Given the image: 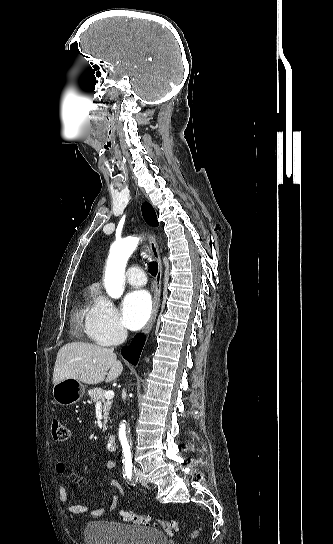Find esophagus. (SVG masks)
<instances>
[{
    "instance_id": "esophagus-1",
    "label": "esophagus",
    "mask_w": 333,
    "mask_h": 544,
    "mask_svg": "<svg viewBox=\"0 0 333 544\" xmlns=\"http://www.w3.org/2000/svg\"><path fill=\"white\" fill-rule=\"evenodd\" d=\"M148 239H149L150 250H151L152 256L156 260V262L158 263V271H157V275H156V278H155V281H154V297H153V308H152L151 317H150L147 325L143 329L142 333L148 332L150 330V328L152 327L153 323L155 322V319H156V316H157V313H158V309H159L162 275H163V264H162L160 250H159L156 238H155L154 235L149 234Z\"/></svg>"
}]
</instances>
